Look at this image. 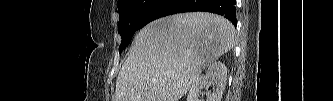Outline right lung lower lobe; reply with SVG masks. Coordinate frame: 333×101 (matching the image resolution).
<instances>
[{"label": "right lung lower lobe", "mask_w": 333, "mask_h": 101, "mask_svg": "<svg viewBox=\"0 0 333 101\" xmlns=\"http://www.w3.org/2000/svg\"><path fill=\"white\" fill-rule=\"evenodd\" d=\"M236 0H156L141 21V28L158 18L183 12L206 11L224 16L234 26L236 19Z\"/></svg>", "instance_id": "right-lung-lower-lobe-1"}]
</instances>
